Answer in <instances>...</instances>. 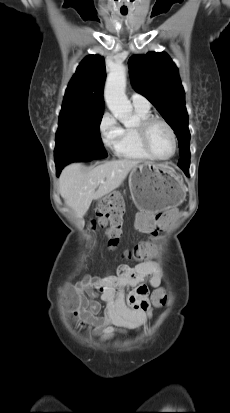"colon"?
I'll list each match as a JSON object with an SVG mask.
<instances>
[{
  "label": "colon",
  "mask_w": 230,
  "mask_h": 413,
  "mask_svg": "<svg viewBox=\"0 0 230 413\" xmlns=\"http://www.w3.org/2000/svg\"><path fill=\"white\" fill-rule=\"evenodd\" d=\"M124 192H110L108 201L100 202L96 208V218L92 221V228L107 227L108 247L115 248L123 233V205L125 203ZM155 236L159 231H147ZM126 257L134 260L147 259L154 255V249L150 244H141L125 253ZM153 303L160 307L165 304L166 295L155 293Z\"/></svg>",
  "instance_id": "5ec220e1"
}]
</instances>
